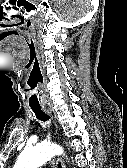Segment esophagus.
<instances>
[{
  "instance_id": "obj_1",
  "label": "esophagus",
  "mask_w": 127,
  "mask_h": 168,
  "mask_svg": "<svg viewBox=\"0 0 127 168\" xmlns=\"http://www.w3.org/2000/svg\"><path fill=\"white\" fill-rule=\"evenodd\" d=\"M44 111L49 115L51 116L52 112H51V109L48 108V107H44ZM56 168H65V165L62 161L61 158H57L56 160Z\"/></svg>"
}]
</instances>
